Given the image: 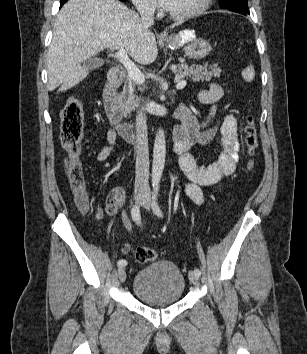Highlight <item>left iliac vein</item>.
Listing matches in <instances>:
<instances>
[{
	"label": "left iliac vein",
	"instance_id": "obj_1",
	"mask_svg": "<svg viewBox=\"0 0 307 354\" xmlns=\"http://www.w3.org/2000/svg\"><path fill=\"white\" fill-rule=\"evenodd\" d=\"M142 206L146 209V210H150V199L149 198H145L144 199V202L142 203ZM188 277H189V280L194 284L196 285L199 281V276H197L194 272L192 271H189L188 273Z\"/></svg>",
	"mask_w": 307,
	"mask_h": 354
}]
</instances>
